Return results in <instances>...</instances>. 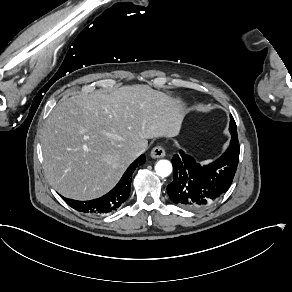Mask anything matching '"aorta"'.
I'll return each instance as SVG.
<instances>
[{
    "instance_id": "aorta-1",
    "label": "aorta",
    "mask_w": 292,
    "mask_h": 292,
    "mask_svg": "<svg viewBox=\"0 0 292 292\" xmlns=\"http://www.w3.org/2000/svg\"><path fill=\"white\" fill-rule=\"evenodd\" d=\"M158 176L167 177L172 172V165L168 160H159L155 166Z\"/></svg>"
}]
</instances>
